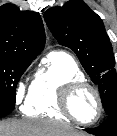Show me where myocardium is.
<instances>
[{
	"label": "myocardium",
	"instance_id": "f54148a6",
	"mask_svg": "<svg viewBox=\"0 0 117 136\" xmlns=\"http://www.w3.org/2000/svg\"><path fill=\"white\" fill-rule=\"evenodd\" d=\"M83 91H90L96 98L98 112L92 121H84L79 119L74 110H73V102L75 97L83 92ZM59 106L60 110L66 115L69 119L73 120L74 122L82 125H92L99 121L103 113V102L99 91L90 83L84 81H73L65 85L61 91L59 96Z\"/></svg>",
	"mask_w": 117,
	"mask_h": 136
}]
</instances>
